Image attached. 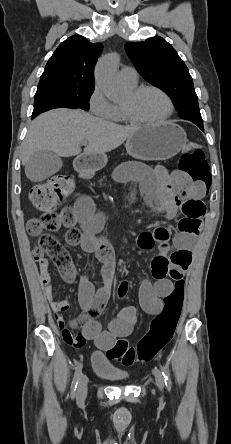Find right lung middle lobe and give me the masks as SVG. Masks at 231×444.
Instances as JSON below:
<instances>
[{"mask_svg":"<svg viewBox=\"0 0 231 444\" xmlns=\"http://www.w3.org/2000/svg\"><path fill=\"white\" fill-rule=\"evenodd\" d=\"M94 87L46 86L38 87L32 118L50 109L66 107L88 109V99Z\"/></svg>","mask_w":231,"mask_h":444,"instance_id":"dd1d6c3e","label":"right lung middle lobe"}]
</instances>
